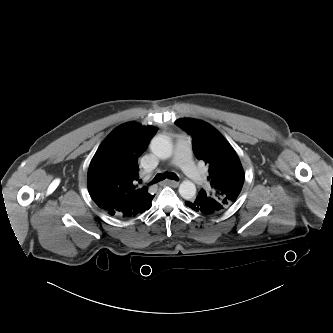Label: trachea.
Returning <instances> with one entry per match:
<instances>
[{"mask_svg":"<svg viewBox=\"0 0 333 333\" xmlns=\"http://www.w3.org/2000/svg\"><path fill=\"white\" fill-rule=\"evenodd\" d=\"M165 178L171 179V180H176V181L179 180L178 176L175 173H173V172H165L164 174L158 173L154 177V179L152 180L151 184L158 183V182L164 180Z\"/></svg>","mask_w":333,"mask_h":333,"instance_id":"3493384b","label":"trachea"}]
</instances>
